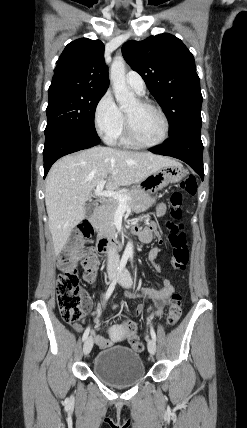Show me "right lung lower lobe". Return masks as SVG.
<instances>
[{"mask_svg":"<svg viewBox=\"0 0 247 428\" xmlns=\"http://www.w3.org/2000/svg\"><path fill=\"white\" fill-rule=\"evenodd\" d=\"M100 143L97 135H87L69 130L50 132L45 135L44 178L52 164L60 157L93 147Z\"/></svg>","mask_w":247,"mask_h":428,"instance_id":"right-lung-lower-lobe-1","label":"right lung lower lobe"}]
</instances>
